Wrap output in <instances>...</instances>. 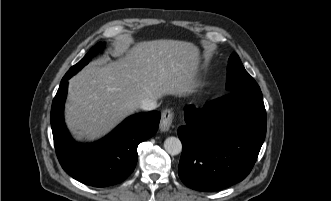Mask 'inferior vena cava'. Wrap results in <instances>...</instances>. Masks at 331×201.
Here are the masks:
<instances>
[{"label":"inferior vena cava","mask_w":331,"mask_h":201,"mask_svg":"<svg viewBox=\"0 0 331 201\" xmlns=\"http://www.w3.org/2000/svg\"><path fill=\"white\" fill-rule=\"evenodd\" d=\"M157 97L145 98L141 101L140 108L146 111H151L157 108Z\"/></svg>","instance_id":"1"}]
</instances>
